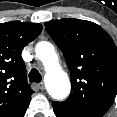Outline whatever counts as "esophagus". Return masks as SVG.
<instances>
[{
    "mask_svg": "<svg viewBox=\"0 0 117 117\" xmlns=\"http://www.w3.org/2000/svg\"><path fill=\"white\" fill-rule=\"evenodd\" d=\"M38 88H39V90L43 91L45 89L44 83L43 82L39 83Z\"/></svg>",
    "mask_w": 117,
    "mask_h": 117,
    "instance_id": "esophagus-1",
    "label": "esophagus"
}]
</instances>
